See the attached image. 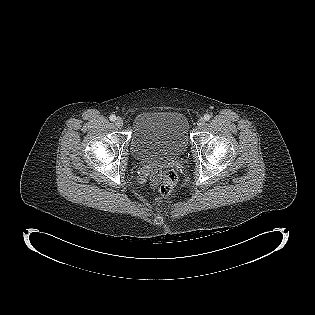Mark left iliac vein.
I'll use <instances>...</instances> for the list:
<instances>
[{"label":"left iliac vein","mask_w":315,"mask_h":315,"mask_svg":"<svg viewBox=\"0 0 315 315\" xmlns=\"http://www.w3.org/2000/svg\"><path fill=\"white\" fill-rule=\"evenodd\" d=\"M205 125V120L203 118L199 119L197 122V127L201 129Z\"/></svg>","instance_id":"1"}]
</instances>
